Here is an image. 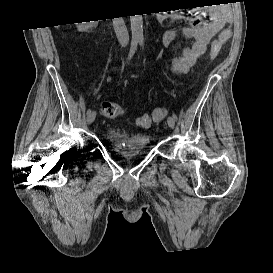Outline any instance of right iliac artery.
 I'll use <instances>...</instances> for the list:
<instances>
[{
	"label": "right iliac artery",
	"mask_w": 273,
	"mask_h": 273,
	"mask_svg": "<svg viewBox=\"0 0 273 273\" xmlns=\"http://www.w3.org/2000/svg\"><path fill=\"white\" fill-rule=\"evenodd\" d=\"M137 50V42H132L131 43V47H130V51L127 57V62L133 57V55L135 54ZM91 112V109L87 110V114H89Z\"/></svg>",
	"instance_id": "1"
}]
</instances>
